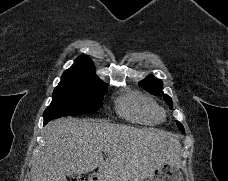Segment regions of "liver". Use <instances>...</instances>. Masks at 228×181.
Segmentation results:
<instances>
[{
    "label": "liver",
    "mask_w": 228,
    "mask_h": 181,
    "mask_svg": "<svg viewBox=\"0 0 228 181\" xmlns=\"http://www.w3.org/2000/svg\"><path fill=\"white\" fill-rule=\"evenodd\" d=\"M44 135L30 181H66L67 173L85 175L95 169L100 181H143L162 165L176 167L181 149L172 133L95 119L52 121Z\"/></svg>",
    "instance_id": "1"
}]
</instances>
